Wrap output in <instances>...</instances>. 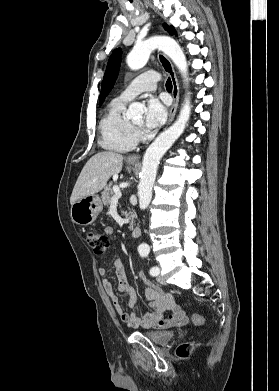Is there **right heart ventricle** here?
Returning <instances> with one entry per match:
<instances>
[{
  "label": "right heart ventricle",
  "instance_id": "obj_1",
  "mask_svg": "<svg viewBox=\"0 0 279 391\" xmlns=\"http://www.w3.org/2000/svg\"><path fill=\"white\" fill-rule=\"evenodd\" d=\"M126 103L120 97L112 99L100 121V145L106 150L127 152L137 144L134 126L124 115Z\"/></svg>",
  "mask_w": 279,
  "mask_h": 391
}]
</instances>
